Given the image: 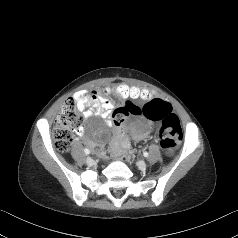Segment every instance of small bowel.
I'll use <instances>...</instances> for the list:
<instances>
[{
    "instance_id": "c3829d8e",
    "label": "small bowel",
    "mask_w": 238,
    "mask_h": 238,
    "mask_svg": "<svg viewBox=\"0 0 238 238\" xmlns=\"http://www.w3.org/2000/svg\"><path fill=\"white\" fill-rule=\"evenodd\" d=\"M108 92L109 90L105 91V93ZM74 99L83 111L84 119H88L91 116L107 118L114 107L113 102L109 98L101 95L97 91H80L75 95ZM82 133L83 131L80 130V134ZM141 137L142 136H139V138ZM119 139L124 147L129 148L130 141L127 136L122 135Z\"/></svg>"
}]
</instances>
